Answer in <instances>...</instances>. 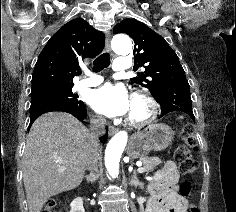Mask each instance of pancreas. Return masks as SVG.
I'll use <instances>...</instances> for the list:
<instances>
[{
  "instance_id": "pancreas-1",
  "label": "pancreas",
  "mask_w": 236,
  "mask_h": 212,
  "mask_svg": "<svg viewBox=\"0 0 236 212\" xmlns=\"http://www.w3.org/2000/svg\"><path fill=\"white\" fill-rule=\"evenodd\" d=\"M141 162L143 163V173H149L161 163V159L158 157H141Z\"/></svg>"
}]
</instances>
